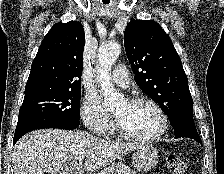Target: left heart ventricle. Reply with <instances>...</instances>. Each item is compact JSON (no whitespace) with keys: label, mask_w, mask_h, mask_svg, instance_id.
Returning <instances> with one entry per match:
<instances>
[{"label":"left heart ventricle","mask_w":224,"mask_h":174,"mask_svg":"<svg viewBox=\"0 0 224 174\" xmlns=\"http://www.w3.org/2000/svg\"><path fill=\"white\" fill-rule=\"evenodd\" d=\"M114 114L122 127L134 135L150 136L161 127L159 114L146 103L130 105L124 101L115 109Z\"/></svg>","instance_id":"b2bd125f"}]
</instances>
